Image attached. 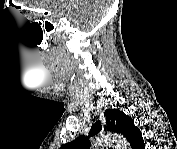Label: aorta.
Here are the masks:
<instances>
[{
  "label": "aorta",
  "mask_w": 177,
  "mask_h": 149,
  "mask_svg": "<svg viewBox=\"0 0 177 149\" xmlns=\"http://www.w3.org/2000/svg\"><path fill=\"white\" fill-rule=\"evenodd\" d=\"M110 143H117L119 146L122 147H126V141L115 134H105V135H101L100 137L96 138L95 142H94V146L95 147H104Z\"/></svg>",
  "instance_id": "obj_1"
}]
</instances>
